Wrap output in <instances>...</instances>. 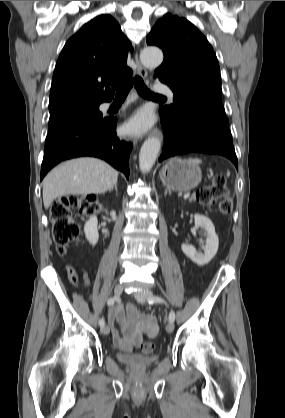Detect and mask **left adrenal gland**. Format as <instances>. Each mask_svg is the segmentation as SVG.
<instances>
[{
    "label": "left adrenal gland",
    "mask_w": 285,
    "mask_h": 418,
    "mask_svg": "<svg viewBox=\"0 0 285 418\" xmlns=\"http://www.w3.org/2000/svg\"><path fill=\"white\" fill-rule=\"evenodd\" d=\"M168 192H169V194H171V192L168 191V189H166L164 195L166 196Z\"/></svg>",
    "instance_id": "left-adrenal-gland-1"
}]
</instances>
